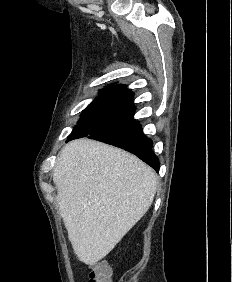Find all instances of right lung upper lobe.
Instances as JSON below:
<instances>
[{
    "label": "right lung upper lobe",
    "instance_id": "obj_1",
    "mask_svg": "<svg viewBox=\"0 0 232 282\" xmlns=\"http://www.w3.org/2000/svg\"><path fill=\"white\" fill-rule=\"evenodd\" d=\"M109 91H120V92H128L127 88H124L122 84L115 85L109 88L103 89L101 92H109Z\"/></svg>",
    "mask_w": 232,
    "mask_h": 282
}]
</instances>
